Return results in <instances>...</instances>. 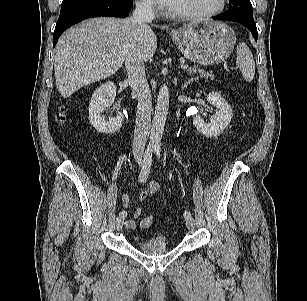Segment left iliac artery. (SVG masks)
Wrapping results in <instances>:
<instances>
[{"label":"left iliac artery","instance_id":"44dca946","mask_svg":"<svg viewBox=\"0 0 307 301\" xmlns=\"http://www.w3.org/2000/svg\"><path fill=\"white\" fill-rule=\"evenodd\" d=\"M154 152H155L156 156H157L158 158H160L161 149H160L159 146L155 147ZM184 217H185L186 219H187V218H190V217H191V213H190L189 211H185V212H184Z\"/></svg>","mask_w":307,"mask_h":301}]
</instances>
